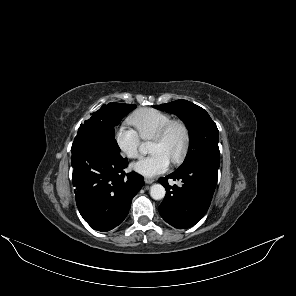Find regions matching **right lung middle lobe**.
Listing matches in <instances>:
<instances>
[{
	"instance_id": "1",
	"label": "right lung middle lobe",
	"mask_w": 296,
	"mask_h": 296,
	"mask_svg": "<svg viewBox=\"0 0 296 296\" xmlns=\"http://www.w3.org/2000/svg\"><path fill=\"white\" fill-rule=\"evenodd\" d=\"M135 108L136 105L120 103L102 105L84 124H81L77 135H95L112 147L115 153L120 154V148L115 140L114 127Z\"/></svg>"
}]
</instances>
